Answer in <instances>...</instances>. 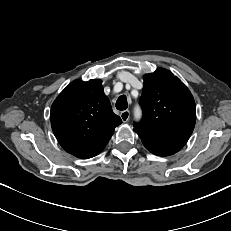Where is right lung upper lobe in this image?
Returning <instances> with one entry per match:
<instances>
[{"label":"right lung upper lobe","instance_id":"obj_1","mask_svg":"<svg viewBox=\"0 0 231 231\" xmlns=\"http://www.w3.org/2000/svg\"><path fill=\"white\" fill-rule=\"evenodd\" d=\"M50 120L62 148L82 159L98 155L122 123L99 79L71 82L53 102Z\"/></svg>","mask_w":231,"mask_h":231}]
</instances>
